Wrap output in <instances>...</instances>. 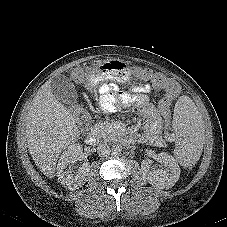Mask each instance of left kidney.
Segmentation results:
<instances>
[{
	"label": "left kidney",
	"mask_w": 227,
	"mask_h": 227,
	"mask_svg": "<svg viewBox=\"0 0 227 227\" xmlns=\"http://www.w3.org/2000/svg\"><path fill=\"white\" fill-rule=\"evenodd\" d=\"M158 162L163 166L160 169H151L147 163H143V175L148 182L159 189H169L178 181L180 168L176 159L168 153L158 154Z\"/></svg>",
	"instance_id": "left-kidney-1"
}]
</instances>
